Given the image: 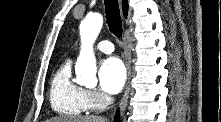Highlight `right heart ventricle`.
<instances>
[{"label": "right heart ventricle", "instance_id": "right-heart-ventricle-1", "mask_svg": "<svg viewBox=\"0 0 221 122\" xmlns=\"http://www.w3.org/2000/svg\"><path fill=\"white\" fill-rule=\"evenodd\" d=\"M85 89L72 78L71 61L64 62L55 72L50 84L52 109L64 116H79L89 110Z\"/></svg>", "mask_w": 221, "mask_h": 122}]
</instances>
